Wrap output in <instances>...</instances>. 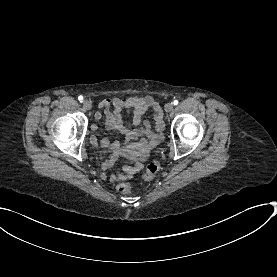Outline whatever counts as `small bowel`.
<instances>
[{
  "mask_svg": "<svg viewBox=\"0 0 277 277\" xmlns=\"http://www.w3.org/2000/svg\"><path fill=\"white\" fill-rule=\"evenodd\" d=\"M112 105V106H111ZM100 106L105 108V126L108 129H114L122 134H125L129 139L134 141L133 145L144 147L145 145L156 143L160 138V133L164 129L163 112L160 104L150 95L141 97L113 98L108 97L100 101ZM113 107V109H112ZM151 109L155 123L156 132L151 129L149 122L143 121V115ZM132 112V123L137 128L131 129L124 124L123 112ZM97 119L101 118V114L95 115ZM92 142L99 147L111 150L109 158L104 163V169H110L121 153V146L118 142H109L107 140L98 141L94 136ZM140 140V142H136ZM123 173L112 174L110 180L112 182H122L130 179L136 172L139 171V165H123Z\"/></svg>",
  "mask_w": 277,
  "mask_h": 277,
  "instance_id": "c3829d8e",
  "label": "small bowel"
}]
</instances>
